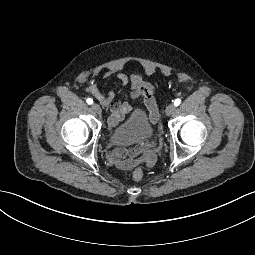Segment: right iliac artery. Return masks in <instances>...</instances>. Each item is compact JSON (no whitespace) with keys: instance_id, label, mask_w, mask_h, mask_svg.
Wrapping results in <instances>:
<instances>
[{"instance_id":"obj_1","label":"right iliac artery","mask_w":255,"mask_h":255,"mask_svg":"<svg viewBox=\"0 0 255 255\" xmlns=\"http://www.w3.org/2000/svg\"><path fill=\"white\" fill-rule=\"evenodd\" d=\"M88 104H92L93 103V100L91 98H88L87 101H86Z\"/></svg>"}]
</instances>
